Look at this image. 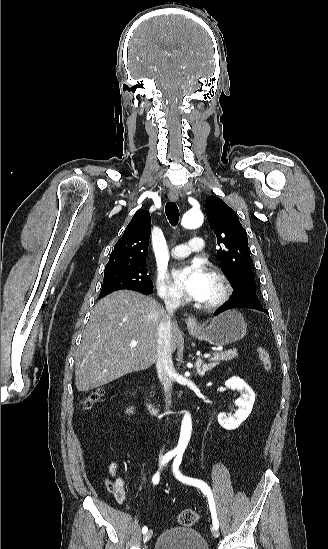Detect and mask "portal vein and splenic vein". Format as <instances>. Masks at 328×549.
<instances>
[{"instance_id": "obj_1", "label": "portal vein and splenic vein", "mask_w": 328, "mask_h": 549, "mask_svg": "<svg viewBox=\"0 0 328 549\" xmlns=\"http://www.w3.org/2000/svg\"><path fill=\"white\" fill-rule=\"evenodd\" d=\"M130 345H131V347H136V345H138V343H137V341H131ZM209 356H210V353L205 354L206 359H209Z\"/></svg>"}]
</instances>
